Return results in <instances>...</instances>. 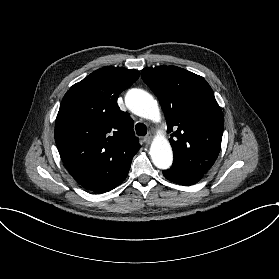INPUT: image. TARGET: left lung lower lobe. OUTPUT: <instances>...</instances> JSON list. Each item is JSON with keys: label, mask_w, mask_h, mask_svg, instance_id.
<instances>
[{"label": "left lung lower lobe", "mask_w": 279, "mask_h": 279, "mask_svg": "<svg viewBox=\"0 0 279 279\" xmlns=\"http://www.w3.org/2000/svg\"><path fill=\"white\" fill-rule=\"evenodd\" d=\"M163 174L168 180L180 185H193L204 176L203 174L192 173L174 166L164 170Z\"/></svg>", "instance_id": "obj_1"}]
</instances>
